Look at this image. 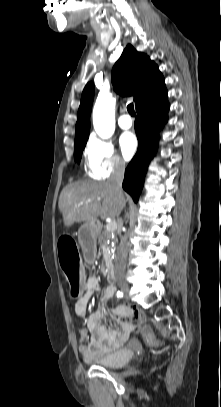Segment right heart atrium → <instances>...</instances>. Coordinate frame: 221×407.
<instances>
[{
	"instance_id": "1",
	"label": "right heart atrium",
	"mask_w": 221,
	"mask_h": 407,
	"mask_svg": "<svg viewBox=\"0 0 221 407\" xmlns=\"http://www.w3.org/2000/svg\"><path fill=\"white\" fill-rule=\"evenodd\" d=\"M86 166L91 177L104 179L125 167L124 160L110 141L91 137L84 150Z\"/></svg>"
}]
</instances>
